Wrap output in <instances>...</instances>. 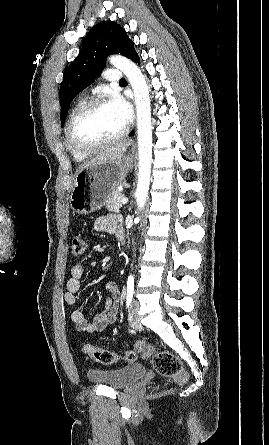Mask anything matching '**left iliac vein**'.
I'll use <instances>...</instances> for the list:
<instances>
[{
  "mask_svg": "<svg viewBox=\"0 0 269 445\" xmlns=\"http://www.w3.org/2000/svg\"><path fill=\"white\" fill-rule=\"evenodd\" d=\"M139 302L137 300H133L131 302L129 312H128V318L131 325L137 326L140 324V318H139Z\"/></svg>",
  "mask_w": 269,
  "mask_h": 445,
  "instance_id": "4c4485c4",
  "label": "left iliac vein"
}]
</instances>
